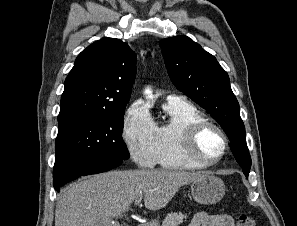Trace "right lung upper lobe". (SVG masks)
Wrapping results in <instances>:
<instances>
[{
  "label": "right lung upper lobe",
  "mask_w": 297,
  "mask_h": 226,
  "mask_svg": "<svg viewBox=\"0 0 297 226\" xmlns=\"http://www.w3.org/2000/svg\"><path fill=\"white\" fill-rule=\"evenodd\" d=\"M136 77V56L127 43L103 38L83 50L65 80L58 120L74 115L124 112Z\"/></svg>",
  "instance_id": "obj_1"
}]
</instances>
